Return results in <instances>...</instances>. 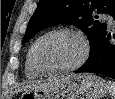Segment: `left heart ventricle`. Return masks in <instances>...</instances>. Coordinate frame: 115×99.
Masks as SVG:
<instances>
[{
    "instance_id": "1",
    "label": "left heart ventricle",
    "mask_w": 115,
    "mask_h": 99,
    "mask_svg": "<svg viewBox=\"0 0 115 99\" xmlns=\"http://www.w3.org/2000/svg\"><path fill=\"white\" fill-rule=\"evenodd\" d=\"M82 44L74 35L61 33L44 39L37 48V58L45 69H57L76 62Z\"/></svg>"
}]
</instances>
